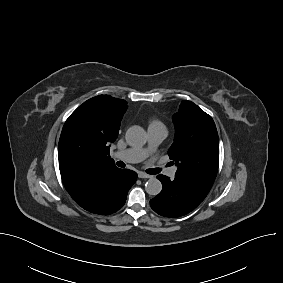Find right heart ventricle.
<instances>
[{
  "label": "right heart ventricle",
  "mask_w": 283,
  "mask_h": 283,
  "mask_svg": "<svg viewBox=\"0 0 283 283\" xmlns=\"http://www.w3.org/2000/svg\"><path fill=\"white\" fill-rule=\"evenodd\" d=\"M151 126H163V124L159 120L153 119L149 123V127H151Z\"/></svg>",
  "instance_id": "e07e8e85"
}]
</instances>
